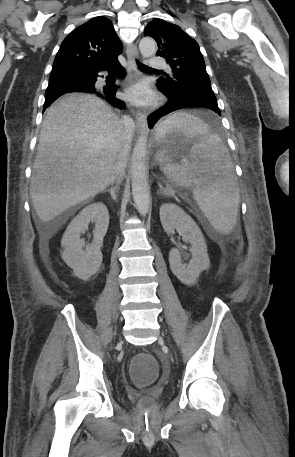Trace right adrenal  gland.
Instances as JSON below:
<instances>
[{"label": "right adrenal gland", "instance_id": "1", "mask_svg": "<svg viewBox=\"0 0 295 457\" xmlns=\"http://www.w3.org/2000/svg\"><path fill=\"white\" fill-rule=\"evenodd\" d=\"M119 186H120L119 181H116L115 183L112 182V187L110 189L106 190V192H109L111 194V197L113 200L117 199V193L119 191Z\"/></svg>", "mask_w": 295, "mask_h": 457}]
</instances>
